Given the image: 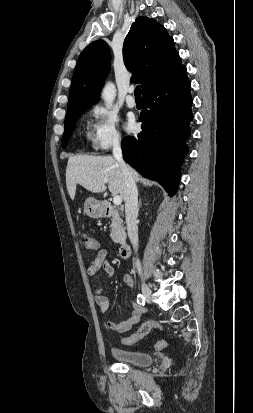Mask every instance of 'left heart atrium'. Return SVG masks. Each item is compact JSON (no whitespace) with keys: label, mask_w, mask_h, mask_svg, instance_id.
I'll return each mask as SVG.
<instances>
[{"label":"left heart atrium","mask_w":253,"mask_h":413,"mask_svg":"<svg viewBox=\"0 0 253 413\" xmlns=\"http://www.w3.org/2000/svg\"><path fill=\"white\" fill-rule=\"evenodd\" d=\"M135 127H136L135 120H134V118H133L132 116H130V117L127 119L126 123H125V128H126L129 132H131V131H133V130L135 129Z\"/></svg>","instance_id":"39dd6f15"}]
</instances>
